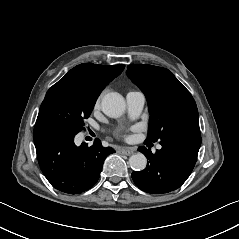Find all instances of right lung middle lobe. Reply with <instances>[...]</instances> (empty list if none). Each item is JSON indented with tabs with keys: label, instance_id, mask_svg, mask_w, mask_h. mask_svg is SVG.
<instances>
[{
	"label": "right lung middle lobe",
	"instance_id": "right-lung-middle-lobe-1",
	"mask_svg": "<svg viewBox=\"0 0 239 239\" xmlns=\"http://www.w3.org/2000/svg\"><path fill=\"white\" fill-rule=\"evenodd\" d=\"M98 95L84 92L63 78L46 93L36 124L55 122L78 133L95 105Z\"/></svg>",
	"mask_w": 239,
	"mask_h": 239
}]
</instances>
